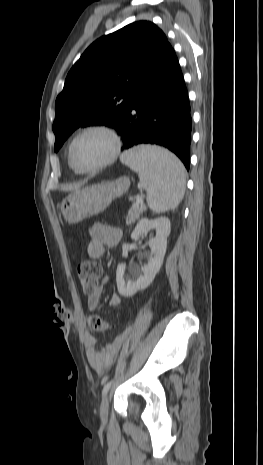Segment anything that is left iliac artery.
Segmentation results:
<instances>
[{"label":"left iliac artery","instance_id":"left-iliac-artery-1","mask_svg":"<svg viewBox=\"0 0 263 465\" xmlns=\"http://www.w3.org/2000/svg\"><path fill=\"white\" fill-rule=\"evenodd\" d=\"M113 381H109L108 383L105 384L103 390H102V395L104 396L108 390L110 389L111 385H112Z\"/></svg>","mask_w":263,"mask_h":465}]
</instances>
